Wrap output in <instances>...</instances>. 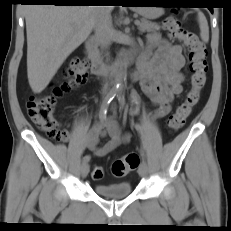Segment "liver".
Wrapping results in <instances>:
<instances>
[{
    "label": "liver",
    "instance_id": "6515ba94",
    "mask_svg": "<svg viewBox=\"0 0 231 231\" xmlns=\"http://www.w3.org/2000/svg\"><path fill=\"white\" fill-rule=\"evenodd\" d=\"M96 6L28 5L27 75L34 93L42 92L67 57L94 28Z\"/></svg>",
    "mask_w": 231,
    "mask_h": 231
}]
</instances>
